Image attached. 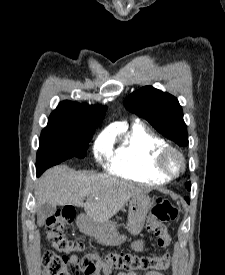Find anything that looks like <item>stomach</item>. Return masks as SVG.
Here are the masks:
<instances>
[{
	"label": "stomach",
	"mask_w": 225,
	"mask_h": 275,
	"mask_svg": "<svg viewBox=\"0 0 225 275\" xmlns=\"http://www.w3.org/2000/svg\"><path fill=\"white\" fill-rule=\"evenodd\" d=\"M152 207L153 202L147 195L141 194L131 198L126 227L130 234L138 235L142 231L147 214ZM81 228L104 245L119 246L126 240V236L120 234L113 222L96 223L86 217Z\"/></svg>",
	"instance_id": "1"
}]
</instances>
